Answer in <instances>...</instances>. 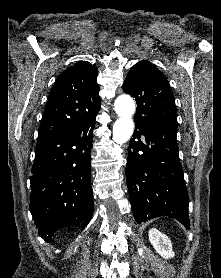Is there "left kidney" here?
<instances>
[{"instance_id":"5707ae66","label":"left kidney","mask_w":221,"mask_h":278,"mask_svg":"<svg viewBox=\"0 0 221 278\" xmlns=\"http://www.w3.org/2000/svg\"><path fill=\"white\" fill-rule=\"evenodd\" d=\"M149 241L156 252L165 259L174 257L171 240L155 228L149 230Z\"/></svg>"}]
</instances>
